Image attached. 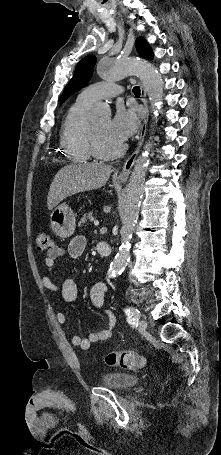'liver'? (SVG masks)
Segmentation results:
<instances>
[{
    "instance_id": "obj_1",
    "label": "liver",
    "mask_w": 221,
    "mask_h": 455,
    "mask_svg": "<svg viewBox=\"0 0 221 455\" xmlns=\"http://www.w3.org/2000/svg\"><path fill=\"white\" fill-rule=\"evenodd\" d=\"M112 167L104 163L71 164L55 175L48 192L47 206L53 210L65 198L106 185Z\"/></svg>"
}]
</instances>
